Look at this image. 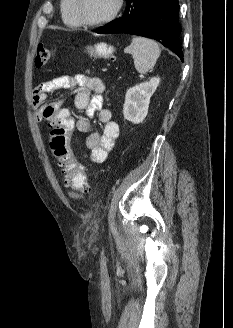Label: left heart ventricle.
<instances>
[{"mask_svg": "<svg viewBox=\"0 0 233 328\" xmlns=\"http://www.w3.org/2000/svg\"><path fill=\"white\" fill-rule=\"evenodd\" d=\"M115 1L116 0H81V15L87 21L101 20L113 11Z\"/></svg>", "mask_w": 233, "mask_h": 328, "instance_id": "1", "label": "left heart ventricle"}]
</instances>
